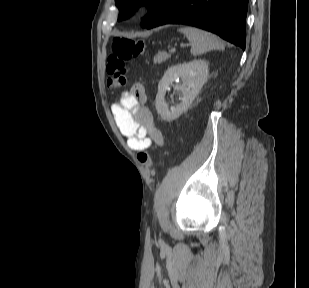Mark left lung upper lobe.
Wrapping results in <instances>:
<instances>
[{"label": "left lung upper lobe", "mask_w": 309, "mask_h": 288, "mask_svg": "<svg viewBox=\"0 0 309 288\" xmlns=\"http://www.w3.org/2000/svg\"><path fill=\"white\" fill-rule=\"evenodd\" d=\"M169 1L170 0H115L116 6L120 11L118 20L120 21L126 19L139 5L146 4L149 8V13L144 18L142 23V26L145 27L147 23L156 14H158Z\"/></svg>", "instance_id": "obj_1"}]
</instances>
